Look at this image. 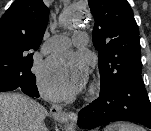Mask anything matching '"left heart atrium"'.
Returning <instances> with one entry per match:
<instances>
[{
  "instance_id": "39dd6f15",
  "label": "left heart atrium",
  "mask_w": 151,
  "mask_h": 131,
  "mask_svg": "<svg viewBox=\"0 0 151 131\" xmlns=\"http://www.w3.org/2000/svg\"><path fill=\"white\" fill-rule=\"evenodd\" d=\"M88 62L79 54L59 53L48 58L38 74L42 94L53 100L68 99L84 86Z\"/></svg>"
}]
</instances>
